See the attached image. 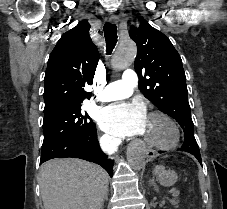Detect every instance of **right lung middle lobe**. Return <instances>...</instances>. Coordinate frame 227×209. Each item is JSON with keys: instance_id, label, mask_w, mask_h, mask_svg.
<instances>
[{"instance_id": "1", "label": "right lung middle lobe", "mask_w": 227, "mask_h": 209, "mask_svg": "<svg viewBox=\"0 0 227 209\" xmlns=\"http://www.w3.org/2000/svg\"><path fill=\"white\" fill-rule=\"evenodd\" d=\"M83 99L53 98L45 102L43 145L69 135L87 134L96 126L86 112L81 111Z\"/></svg>"}]
</instances>
